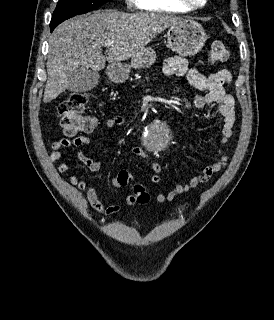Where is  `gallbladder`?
I'll use <instances>...</instances> for the list:
<instances>
[{"label":"gallbladder","mask_w":274,"mask_h":320,"mask_svg":"<svg viewBox=\"0 0 274 320\" xmlns=\"http://www.w3.org/2000/svg\"><path fill=\"white\" fill-rule=\"evenodd\" d=\"M69 77L66 83L70 92H88L99 82V74L94 68H71Z\"/></svg>","instance_id":"1"}]
</instances>
